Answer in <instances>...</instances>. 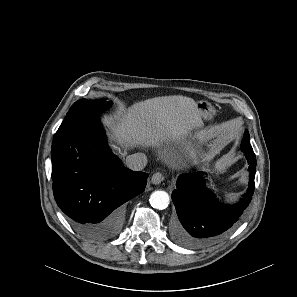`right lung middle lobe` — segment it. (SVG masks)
Listing matches in <instances>:
<instances>
[{
  "mask_svg": "<svg viewBox=\"0 0 297 297\" xmlns=\"http://www.w3.org/2000/svg\"><path fill=\"white\" fill-rule=\"evenodd\" d=\"M111 102L105 100L80 99L75 102L69 109L64 121L60 125L59 130H63L70 125L79 124L91 118H99L98 115L107 110L111 106Z\"/></svg>",
  "mask_w": 297,
  "mask_h": 297,
  "instance_id": "obj_1",
  "label": "right lung middle lobe"
}]
</instances>
